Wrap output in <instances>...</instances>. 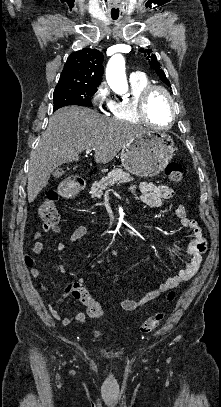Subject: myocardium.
<instances>
[{"mask_svg":"<svg viewBox=\"0 0 221 407\" xmlns=\"http://www.w3.org/2000/svg\"><path fill=\"white\" fill-rule=\"evenodd\" d=\"M155 93H163L165 95V97L167 98V100L169 101V104L171 106V118H170V122L168 125L163 126V127L154 126V128H156L158 130H168V129L172 128V126L174 125L175 120H176V113H175L176 103H175L172 95L169 93V91L162 86L151 85L150 87L146 88L143 91V93L140 95L138 103L136 105L137 116L139 117V119L141 121L148 123L150 125H153V122L149 118L147 107H148V103H149L151 97Z\"/></svg>","mask_w":221,"mask_h":407,"instance_id":"myocardium-1","label":"myocardium"}]
</instances>
